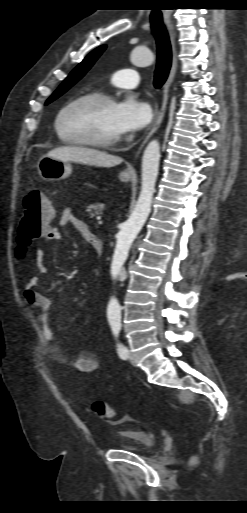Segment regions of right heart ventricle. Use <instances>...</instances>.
Segmentation results:
<instances>
[{
  "mask_svg": "<svg viewBox=\"0 0 247 513\" xmlns=\"http://www.w3.org/2000/svg\"><path fill=\"white\" fill-rule=\"evenodd\" d=\"M61 138V137H60ZM63 141L67 142L66 139L61 138Z\"/></svg>",
  "mask_w": 247,
  "mask_h": 513,
  "instance_id": "e07e8e85",
  "label": "right heart ventricle"
}]
</instances>
